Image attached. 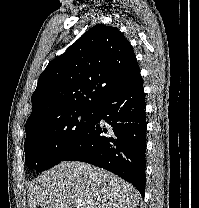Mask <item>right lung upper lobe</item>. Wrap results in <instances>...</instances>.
<instances>
[{"label":"right lung upper lobe","mask_w":199,"mask_h":208,"mask_svg":"<svg viewBox=\"0 0 199 208\" xmlns=\"http://www.w3.org/2000/svg\"><path fill=\"white\" fill-rule=\"evenodd\" d=\"M139 76L136 56L125 36L115 27L95 25L40 75L26 134L73 110L94 107Z\"/></svg>","instance_id":"1"}]
</instances>
